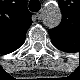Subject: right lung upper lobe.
Listing matches in <instances>:
<instances>
[{
    "mask_svg": "<svg viewBox=\"0 0 80 80\" xmlns=\"http://www.w3.org/2000/svg\"><path fill=\"white\" fill-rule=\"evenodd\" d=\"M13 5L0 17V46L4 49L19 47L32 24L31 13L26 4L14 2Z\"/></svg>",
    "mask_w": 80,
    "mask_h": 80,
    "instance_id": "obj_1",
    "label": "right lung upper lobe"
}]
</instances>
